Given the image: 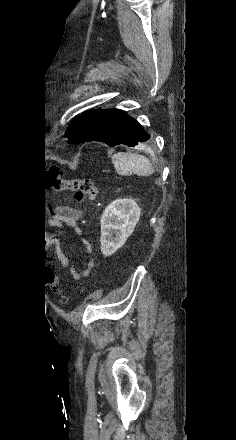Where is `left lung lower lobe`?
<instances>
[{
  "instance_id": "left-lung-lower-lobe-1",
  "label": "left lung lower lobe",
  "mask_w": 236,
  "mask_h": 440,
  "mask_svg": "<svg viewBox=\"0 0 236 440\" xmlns=\"http://www.w3.org/2000/svg\"><path fill=\"white\" fill-rule=\"evenodd\" d=\"M148 140L150 135L143 126L126 112L120 109H104L86 120L68 143L99 141L111 147L119 144L132 147Z\"/></svg>"
}]
</instances>
